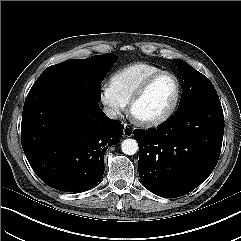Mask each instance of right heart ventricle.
Here are the masks:
<instances>
[{
  "label": "right heart ventricle",
  "mask_w": 241,
  "mask_h": 241,
  "mask_svg": "<svg viewBox=\"0 0 241 241\" xmlns=\"http://www.w3.org/2000/svg\"><path fill=\"white\" fill-rule=\"evenodd\" d=\"M162 70V68L149 63H133L115 71L110 77V84L119 96L126 103H129L142 83Z\"/></svg>",
  "instance_id": "e07e8e85"
}]
</instances>
